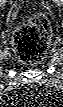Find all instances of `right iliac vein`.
Instances as JSON below:
<instances>
[{
    "instance_id": "63e3f726",
    "label": "right iliac vein",
    "mask_w": 63,
    "mask_h": 107,
    "mask_svg": "<svg viewBox=\"0 0 63 107\" xmlns=\"http://www.w3.org/2000/svg\"><path fill=\"white\" fill-rule=\"evenodd\" d=\"M4 4H5V1H4V0H2V1H1V5L3 6Z\"/></svg>"
}]
</instances>
